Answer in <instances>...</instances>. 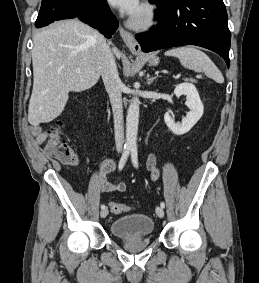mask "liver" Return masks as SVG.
I'll return each mask as SVG.
<instances>
[{
	"mask_svg": "<svg viewBox=\"0 0 259 283\" xmlns=\"http://www.w3.org/2000/svg\"><path fill=\"white\" fill-rule=\"evenodd\" d=\"M33 89L28 121L37 126L57 118L69 92L93 87L101 75L105 38L77 19L60 21L38 31L33 39ZM117 58L119 51L114 49ZM79 68L80 72L75 70Z\"/></svg>",
	"mask_w": 259,
	"mask_h": 283,
	"instance_id": "obj_1",
	"label": "liver"
}]
</instances>
